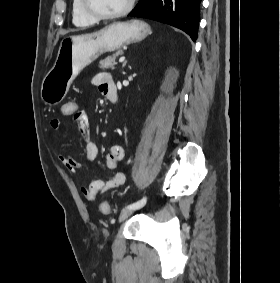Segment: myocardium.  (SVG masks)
Masks as SVG:
<instances>
[{"mask_svg": "<svg viewBox=\"0 0 280 283\" xmlns=\"http://www.w3.org/2000/svg\"><path fill=\"white\" fill-rule=\"evenodd\" d=\"M136 0H128L127 5L120 11L113 14H101L94 10L90 4L89 0H81L82 7L85 13L96 21H107V20H115L127 15L134 7Z\"/></svg>", "mask_w": 280, "mask_h": 283, "instance_id": "obj_1", "label": "myocardium"}]
</instances>
